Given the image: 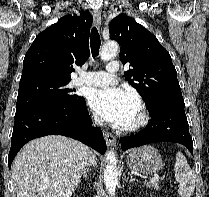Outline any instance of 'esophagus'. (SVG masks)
<instances>
[{
    "label": "esophagus",
    "mask_w": 209,
    "mask_h": 197,
    "mask_svg": "<svg viewBox=\"0 0 209 197\" xmlns=\"http://www.w3.org/2000/svg\"><path fill=\"white\" fill-rule=\"evenodd\" d=\"M93 17H94V20H95V23H96L97 27L100 28L101 12L98 9L93 10ZM103 135H104V139L106 141V144L108 146H115L116 145V138L112 134H110L107 131H104Z\"/></svg>",
    "instance_id": "esophagus-1"
}]
</instances>
